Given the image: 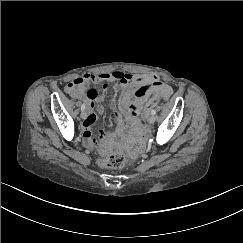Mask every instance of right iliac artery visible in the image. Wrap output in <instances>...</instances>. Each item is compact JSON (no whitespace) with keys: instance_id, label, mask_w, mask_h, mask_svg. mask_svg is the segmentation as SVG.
Masks as SVG:
<instances>
[{"instance_id":"1","label":"right iliac artery","mask_w":243,"mask_h":243,"mask_svg":"<svg viewBox=\"0 0 243 243\" xmlns=\"http://www.w3.org/2000/svg\"><path fill=\"white\" fill-rule=\"evenodd\" d=\"M85 109V104H82L81 110L83 111Z\"/></svg>"}]
</instances>
